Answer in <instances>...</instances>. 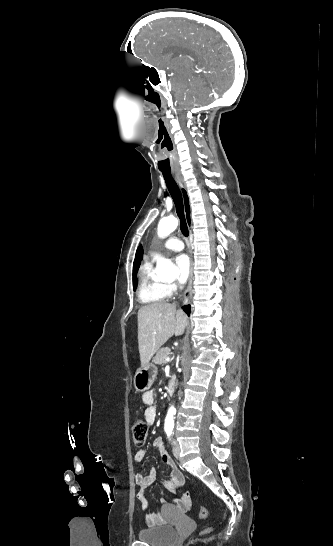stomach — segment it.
<instances>
[{"label": "stomach", "mask_w": 333, "mask_h": 546, "mask_svg": "<svg viewBox=\"0 0 333 546\" xmlns=\"http://www.w3.org/2000/svg\"><path fill=\"white\" fill-rule=\"evenodd\" d=\"M158 373L156 364L149 363L146 367H140L137 369L134 375V386L138 391H148Z\"/></svg>", "instance_id": "obj_1"}]
</instances>
